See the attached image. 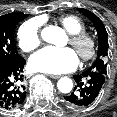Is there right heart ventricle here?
Listing matches in <instances>:
<instances>
[{
	"mask_svg": "<svg viewBox=\"0 0 117 117\" xmlns=\"http://www.w3.org/2000/svg\"><path fill=\"white\" fill-rule=\"evenodd\" d=\"M58 21L70 34H76L85 31V24L78 16L64 15L61 16Z\"/></svg>",
	"mask_w": 117,
	"mask_h": 117,
	"instance_id": "e07e8e85",
	"label": "right heart ventricle"
}]
</instances>
